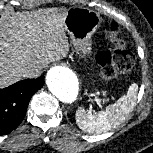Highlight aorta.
Returning <instances> with one entry per match:
<instances>
[{
  "mask_svg": "<svg viewBox=\"0 0 153 153\" xmlns=\"http://www.w3.org/2000/svg\"><path fill=\"white\" fill-rule=\"evenodd\" d=\"M47 85L50 92L65 104H71L77 99L79 83L73 73L56 72L48 77Z\"/></svg>",
  "mask_w": 153,
  "mask_h": 153,
  "instance_id": "1",
  "label": "aorta"
}]
</instances>
